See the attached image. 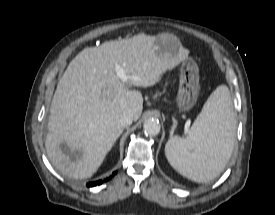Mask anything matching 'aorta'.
<instances>
[{"instance_id":"1","label":"aorta","mask_w":275,"mask_h":215,"mask_svg":"<svg viewBox=\"0 0 275 215\" xmlns=\"http://www.w3.org/2000/svg\"><path fill=\"white\" fill-rule=\"evenodd\" d=\"M160 123L155 119H148L144 122L143 129L147 135H157L160 132Z\"/></svg>"}]
</instances>
